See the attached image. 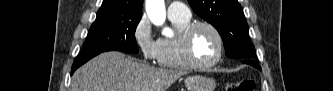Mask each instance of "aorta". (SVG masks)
Instances as JSON below:
<instances>
[{
	"label": "aorta",
	"mask_w": 333,
	"mask_h": 91,
	"mask_svg": "<svg viewBox=\"0 0 333 91\" xmlns=\"http://www.w3.org/2000/svg\"><path fill=\"white\" fill-rule=\"evenodd\" d=\"M146 11L148 17L155 25H162L166 18L164 0H147ZM167 34V31H165Z\"/></svg>",
	"instance_id": "aorta-1"
}]
</instances>
